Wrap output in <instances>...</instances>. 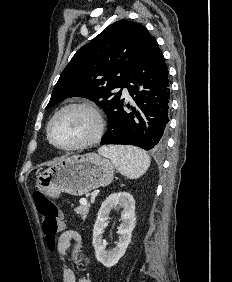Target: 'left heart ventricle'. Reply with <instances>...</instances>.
Wrapping results in <instances>:
<instances>
[{
  "label": "left heart ventricle",
  "instance_id": "left-heart-ventricle-1",
  "mask_svg": "<svg viewBox=\"0 0 232 282\" xmlns=\"http://www.w3.org/2000/svg\"><path fill=\"white\" fill-rule=\"evenodd\" d=\"M95 129L96 120L90 112L84 109H70L56 118L51 134L57 144L69 146L87 140Z\"/></svg>",
  "mask_w": 232,
  "mask_h": 282
}]
</instances>
